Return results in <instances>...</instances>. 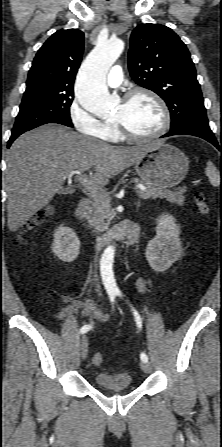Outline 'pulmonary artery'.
Listing matches in <instances>:
<instances>
[{"mask_svg": "<svg viewBox=\"0 0 222 447\" xmlns=\"http://www.w3.org/2000/svg\"><path fill=\"white\" fill-rule=\"evenodd\" d=\"M123 81L122 69L120 66H114L107 77V84L110 87H118Z\"/></svg>", "mask_w": 222, "mask_h": 447, "instance_id": "e3ab8cb5", "label": "pulmonary artery"}]
</instances>
